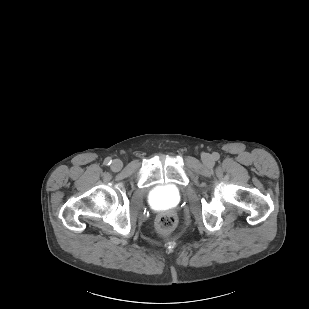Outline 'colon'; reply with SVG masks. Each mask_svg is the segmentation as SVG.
Returning a JSON list of instances; mask_svg holds the SVG:
<instances>
[{
    "label": "colon",
    "instance_id": "colon-1",
    "mask_svg": "<svg viewBox=\"0 0 309 309\" xmlns=\"http://www.w3.org/2000/svg\"><path fill=\"white\" fill-rule=\"evenodd\" d=\"M177 218L173 213H163L157 220V229L160 233L165 234L174 229Z\"/></svg>",
    "mask_w": 309,
    "mask_h": 309
}]
</instances>
